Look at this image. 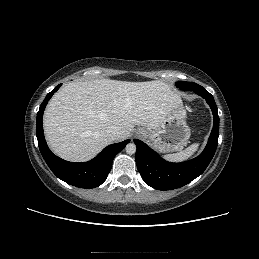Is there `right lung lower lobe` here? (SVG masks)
<instances>
[{"mask_svg": "<svg viewBox=\"0 0 259 259\" xmlns=\"http://www.w3.org/2000/svg\"><path fill=\"white\" fill-rule=\"evenodd\" d=\"M60 86L61 84L47 94L37 113L36 136L40 152L52 172L64 182L80 188L98 187L106 180L116 154L124 149L130 140L111 144L104 148L94 159L84 163L68 162L55 156L46 144L42 117L48 101Z\"/></svg>", "mask_w": 259, "mask_h": 259, "instance_id": "obj_1", "label": "right lung lower lobe"}]
</instances>
